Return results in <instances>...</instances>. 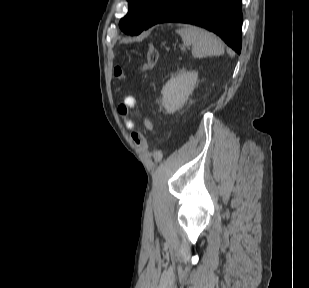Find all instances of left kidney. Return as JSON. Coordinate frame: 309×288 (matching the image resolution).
<instances>
[{
  "instance_id": "obj_1",
  "label": "left kidney",
  "mask_w": 309,
  "mask_h": 288,
  "mask_svg": "<svg viewBox=\"0 0 309 288\" xmlns=\"http://www.w3.org/2000/svg\"><path fill=\"white\" fill-rule=\"evenodd\" d=\"M197 81L198 73L196 71H183L179 75H172L162 89V105L167 113H174L187 102Z\"/></svg>"
}]
</instances>
